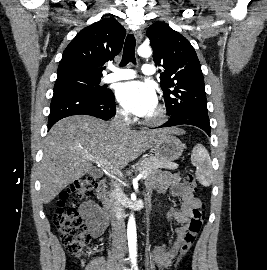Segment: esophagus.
Returning <instances> with one entry per match:
<instances>
[{
	"mask_svg": "<svg viewBox=\"0 0 267 270\" xmlns=\"http://www.w3.org/2000/svg\"><path fill=\"white\" fill-rule=\"evenodd\" d=\"M135 38H136L137 44H139L142 41L143 34H142V31L141 30H137L135 32Z\"/></svg>",
	"mask_w": 267,
	"mask_h": 270,
	"instance_id": "esophagus-1",
	"label": "esophagus"
}]
</instances>
